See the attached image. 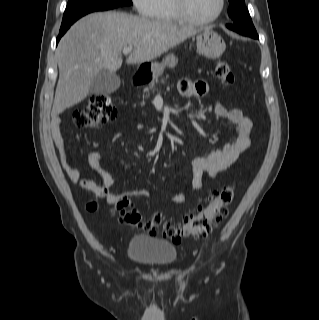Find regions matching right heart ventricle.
Instances as JSON below:
<instances>
[{
  "mask_svg": "<svg viewBox=\"0 0 319 320\" xmlns=\"http://www.w3.org/2000/svg\"><path fill=\"white\" fill-rule=\"evenodd\" d=\"M154 18L163 23H178L181 21L176 14L172 0H160L157 12Z\"/></svg>",
  "mask_w": 319,
  "mask_h": 320,
  "instance_id": "e07e8e85",
  "label": "right heart ventricle"
}]
</instances>
